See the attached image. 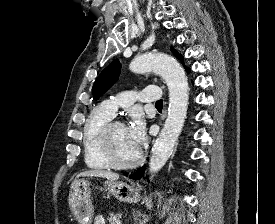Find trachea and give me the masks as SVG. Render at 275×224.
<instances>
[{
    "instance_id": "obj_1",
    "label": "trachea",
    "mask_w": 275,
    "mask_h": 224,
    "mask_svg": "<svg viewBox=\"0 0 275 224\" xmlns=\"http://www.w3.org/2000/svg\"><path fill=\"white\" fill-rule=\"evenodd\" d=\"M156 107H162L163 106V100H159L155 104Z\"/></svg>"
}]
</instances>
